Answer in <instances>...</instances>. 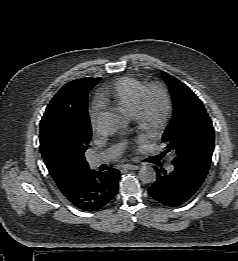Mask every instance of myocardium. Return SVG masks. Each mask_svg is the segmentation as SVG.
<instances>
[{"label":"myocardium","instance_id":"obj_1","mask_svg":"<svg viewBox=\"0 0 238 261\" xmlns=\"http://www.w3.org/2000/svg\"><path fill=\"white\" fill-rule=\"evenodd\" d=\"M154 93H158L161 96L163 107L159 117L152 120L150 115V99ZM172 110V97L167 86L163 82L153 81L147 84L142 90L133 118L139 129L146 132L149 137H155L167 127Z\"/></svg>","mask_w":238,"mask_h":261}]
</instances>
